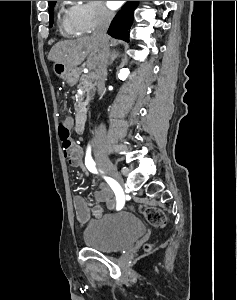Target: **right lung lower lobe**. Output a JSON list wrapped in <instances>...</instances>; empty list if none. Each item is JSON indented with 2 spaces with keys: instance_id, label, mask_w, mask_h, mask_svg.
<instances>
[{
  "instance_id": "obj_1",
  "label": "right lung lower lobe",
  "mask_w": 237,
  "mask_h": 300,
  "mask_svg": "<svg viewBox=\"0 0 237 300\" xmlns=\"http://www.w3.org/2000/svg\"><path fill=\"white\" fill-rule=\"evenodd\" d=\"M138 6V1H127L112 21L108 34L114 38L129 41V29L133 21V11Z\"/></svg>"
}]
</instances>
